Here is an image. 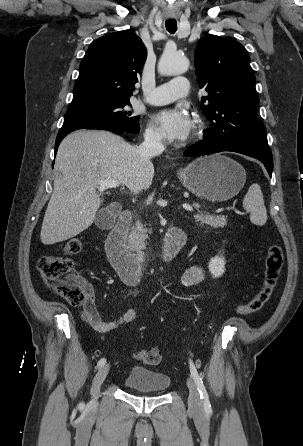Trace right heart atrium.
I'll return each instance as SVG.
<instances>
[{"mask_svg":"<svg viewBox=\"0 0 303 446\" xmlns=\"http://www.w3.org/2000/svg\"><path fill=\"white\" fill-rule=\"evenodd\" d=\"M144 136L150 144H160L163 141L161 133L152 125L147 126Z\"/></svg>","mask_w":303,"mask_h":446,"instance_id":"right-heart-atrium-1","label":"right heart atrium"}]
</instances>
